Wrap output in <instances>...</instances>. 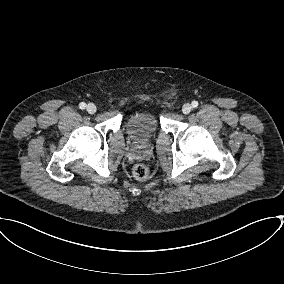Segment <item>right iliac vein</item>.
<instances>
[{
	"label": "right iliac vein",
	"instance_id": "63e3f726",
	"mask_svg": "<svg viewBox=\"0 0 284 284\" xmlns=\"http://www.w3.org/2000/svg\"><path fill=\"white\" fill-rule=\"evenodd\" d=\"M86 110L88 113L90 114H94L97 110V107L95 106V104L93 103H89L87 106H86Z\"/></svg>",
	"mask_w": 284,
	"mask_h": 284
}]
</instances>
